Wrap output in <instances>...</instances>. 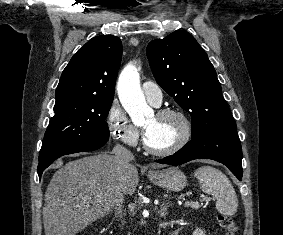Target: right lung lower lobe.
Masks as SVG:
<instances>
[{
	"mask_svg": "<svg viewBox=\"0 0 283 235\" xmlns=\"http://www.w3.org/2000/svg\"><path fill=\"white\" fill-rule=\"evenodd\" d=\"M107 140L108 137H96L88 141L74 142L60 149H57L56 151L49 154L46 158L39 160L37 169L39 177L41 178L43 171L57 158L67 154L95 150L103 146L107 142Z\"/></svg>",
	"mask_w": 283,
	"mask_h": 235,
	"instance_id": "1",
	"label": "right lung lower lobe"
}]
</instances>
